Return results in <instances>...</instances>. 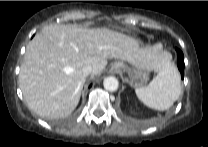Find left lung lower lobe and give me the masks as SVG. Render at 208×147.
Returning a JSON list of instances; mask_svg holds the SVG:
<instances>
[{
    "label": "left lung lower lobe",
    "instance_id": "1",
    "mask_svg": "<svg viewBox=\"0 0 208 147\" xmlns=\"http://www.w3.org/2000/svg\"><path fill=\"white\" fill-rule=\"evenodd\" d=\"M176 51L178 53L177 66L181 73V78L183 79L184 78V55L182 51L179 50L178 48H176Z\"/></svg>",
    "mask_w": 208,
    "mask_h": 147
}]
</instances>
